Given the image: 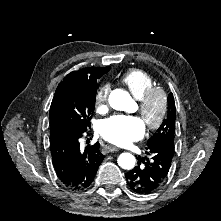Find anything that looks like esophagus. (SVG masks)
<instances>
[{
    "instance_id": "esophagus-1",
    "label": "esophagus",
    "mask_w": 221,
    "mask_h": 221,
    "mask_svg": "<svg viewBox=\"0 0 221 221\" xmlns=\"http://www.w3.org/2000/svg\"><path fill=\"white\" fill-rule=\"evenodd\" d=\"M115 151H119V148L112 146V145H104V148H103L104 153L115 152Z\"/></svg>"
}]
</instances>
